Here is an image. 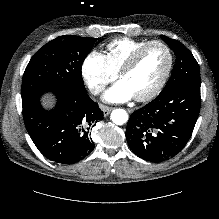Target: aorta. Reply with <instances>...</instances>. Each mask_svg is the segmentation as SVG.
<instances>
[{
    "label": "aorta",
    "instance_id": "obj_1",
    "mask_svg": "<svg viewBox=\"0 0 219 219\" xmlns=\"http://www.w3.org/2000/svg\"><path fill=\"white\" fill-rule=\"evenodd\" d=\"M110 119L116 125H123L128 121V113L124 109H115L112 111Z\"/></svg>",
    "mask_w": 219,
    "mask_h": 219
}]
</instances>
